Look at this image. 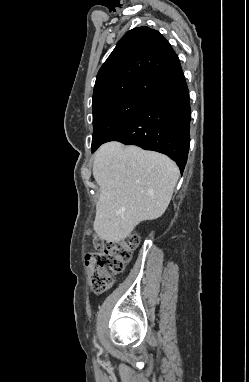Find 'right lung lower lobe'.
I'll return each mask as SVG.
<instances>
[{"label": "right lung lower lobe", "mask_w": 249, "mask_h": 382, "mask_svg": "<svg viewBox=\"0 0 249 382\" xmlns=\"http://www.w3.org/2000/svg\"><path fill=\"white\" fill-rule=\"evenodd\" d=\"M190 100L184 75L149 99L139 114L108 141L163 153L183 173L190 144Z\"/></svg>", "instance_id": "98d812e1"}]
</instances>
